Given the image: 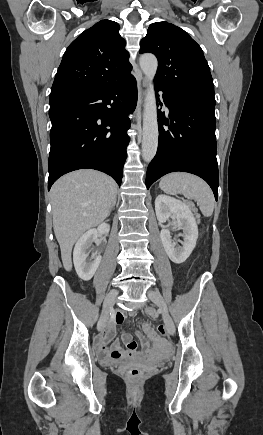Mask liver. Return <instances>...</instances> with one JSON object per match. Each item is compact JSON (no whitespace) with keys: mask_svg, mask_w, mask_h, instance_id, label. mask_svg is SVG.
Wrapping results in <instances>:
<instances>
[{"mask_svg":"<svg viewBox=\"0 0 263 435\" xmlns=\"http://www.w3.org/2000/svg\"><path fill=\"white\" fill-rule=\"evenodd\" d=\"M116 193L117 184L112 178L90 169L66 174L52 186L53 229L66 271L72 269L74 243L106 219L116 201Z\"/></svg>","mask_w":263,"mask_h":435,"instance_id":"liver-1","label":"liver"}]
</instances>
